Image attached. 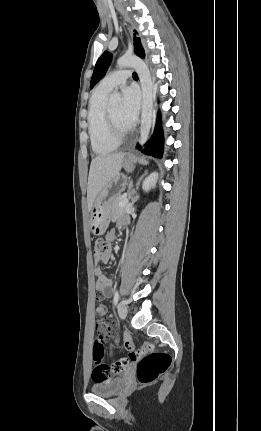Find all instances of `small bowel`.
I'll list each match as a JSON object with an SVG mask.
<instances>
[{
    "mask_svg": "<svg viewBox=\"0 0 261 431\" xmlns=\"http://www.w3.org/2000/svg\"><path fill=\"white\" fill-rule=\"evenodd\" d=\"M126 221L125 218H120L119 222L120 223H124ZM115 231H110L107 233L106 235V240L109 242H112L115 240ZM111 258L110 253L100 257V258H95L96 261H101L103 263H107ZM94 273L96 276V283H95V287H96V295H95V300H96V306L97 308L95 309V314L98 315L96 316V340H98V342H105L107 336H112L115 338V341L117 342V334L112 326V324L106 320L105 315H107L108 310L107 308H105V302L107 300V298H110L112 296V280L105 276L102 272V269L100 266H95L94 268ZM123 346L126 348L127 351H131V353H134V351L137 350V345L134 344L131 341L130 336L127 334L124 337V343ZM127 366V364L125 365Z\"/></svg>",
    "mask_w": 261,
    "mask_h": 431,
    "instance_id": "obj_1",
    "label": "small bowel"
}]
</instances>
